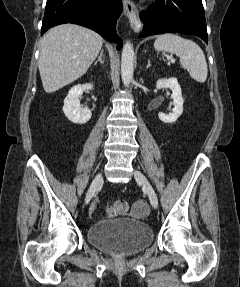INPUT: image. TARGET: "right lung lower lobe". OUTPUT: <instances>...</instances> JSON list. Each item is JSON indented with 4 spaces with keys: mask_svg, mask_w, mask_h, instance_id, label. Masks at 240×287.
<instances>
[{
    "mask_svg": "<svg viewBox=\"0 0 240 287\" xmlns=\"http://www.w3.org/2000/svg\"><path fill=\"white\" fill-rule=\"evenodd\" d=\"M122 13V0H47L41 35L63 23L78 24L99 33L110 42H123L116 33V22Z\"/></svg>",
    "mask_w": 240,
    "mask_h": 287,
    "instance_id": "98d812e1",
    "label": "right lung lower lobe"
}]
</instances>
